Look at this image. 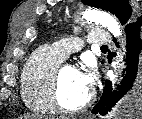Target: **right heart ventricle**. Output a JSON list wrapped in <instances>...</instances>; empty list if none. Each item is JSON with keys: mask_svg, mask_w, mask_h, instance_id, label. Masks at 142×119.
<instances>
[{"mask_svg": "<svg viewBox=\"0 0 142 119\" xmlns=\"http://www.w3.org/2000/svg\"><path fill=\"white\" fill-rule=\"evenodd\" d=\"M62 60L50 46L37 48L27 60L21 74V95L30 110L40 113L54 111L50 86Z\"/></svg>", "mask_w": 142, "mask_h": 119, "instance_id": "obj_1", "label": "right heart ventricle"}]
</instances>
